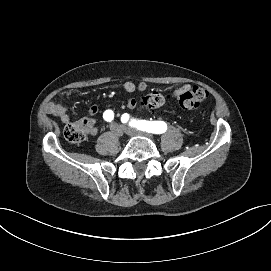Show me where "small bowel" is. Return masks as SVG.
Masks as SVG:
<instances>
[{"mask_svg":"<svg viewBox=\"0 0 271 271\" xmlns=\"http://www.w3.org/2000/svg\"><path fill=\"white\" fill-rule=\"evenodd\" d=\"M191 88L190 85L185 84L177 89H175L172 93V96L177 98L180 97L185 91ZM124 89L127 92H134L136 90L143 91L146 89V85L144 83H140L136 85L135 83L128 81L124 83ZM125 104L127 107L134 109L137 106V101L134 98H126ZM46 111L48 114L57 117L62 123L66 124L69 122V115L67 107L57 103V102H50L46 107ZM99 112V106L93 105L89 109V117L83 119L81 122L85 123L87 126V132L90 135H95L97 133V128L95 127V120L93 116H95Z\"/></svg>","mask_w":271,"mask_h":271,"instance_id":"small-bowel-1","label":"small bowel"}]
</instances>
